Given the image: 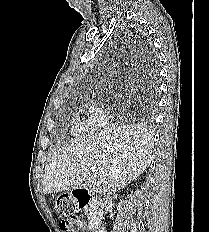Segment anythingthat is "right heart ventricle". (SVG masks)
Returning <instances> with one entry per match:
<instances>
[{
	"label": "right heart ventricle",
	"mask_w": 209,
	"mask_h": 232,
	"mask_svg": "<svg viewBox=\"0 0 209 232\" xmlns=\"http://www.w3.org/2000/svg\"><path fill=\"white\" fill-rule=\"evenodd\" d=\"M86 122L82 120L78 115H75L70 123V131L74 135H80L87 131Z\"/></svg>",
	"instance_id": "e07e8e85"
}]
</instances>
